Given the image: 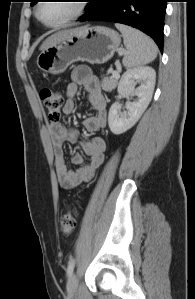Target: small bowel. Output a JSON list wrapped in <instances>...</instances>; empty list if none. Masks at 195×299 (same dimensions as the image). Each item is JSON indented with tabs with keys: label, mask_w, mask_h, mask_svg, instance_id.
Masks as SVG:
<instances>
[{
	"label": "small bowel",
	"mask_w": 195,
	"mask_h": 299,
	"mask_svg": "<svg viewBox=\"0 0 195 299\" xmlns=\"http://www.w3.org/2000/svg\"><path fill=\"white\" fill-rule=\"evenodd\" d=\"M80 86L87 92L89 103L96 111L95 115L89 116L84 120V128L89 133L97 132L106 126L107 102L99 79L88 68L77 67L72 72V80L66 86L67 99L63 107V112L65 115H70L74 112V96ZM49 132L54 148L55 166L60 185L64 189L70 190L90 181L96 169L104 161L106 150L105 140L95 137L82 142V149L89 156L90 160L89 162H85L81 154H74L73 161L80 167L72 171L68 168L64 159L63 145L66 142H77V131L62 122H51L49 124Z\"/></svg>",
	"instance_id": "c3829d8e"
}]
</instances>
